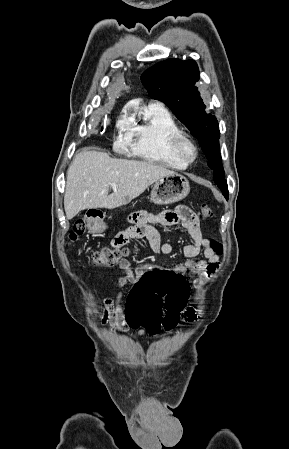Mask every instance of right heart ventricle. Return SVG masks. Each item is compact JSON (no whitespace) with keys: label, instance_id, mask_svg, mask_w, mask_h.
<instances>
[{"label":"right heart ventricle","instance_id":"obj_1","mask_svg":"<svg viewBox=\"0 0 289 449\" xmlns=\"http://www.w3.org/2000/svg\"><path fill=\"white\" fill-rule=\"evenodd\" d=\"M132 153L144 160L184 170L188 164L172 152L171 138L181 130L170 112L159 104H149L132 123Z\"/></svg>","mask_w":289,"mask_h":449}]
</instances>
